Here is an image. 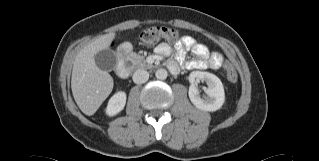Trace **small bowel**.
Listing matches in <instances>:
<instances>
[{
    "mask_svg": "<svg viewBox=\"0 0 319 161\" xmlns=\"http://www.w3.org/2000/svg\"><path fill=\"white\" fill-rule=\"evenodd\" d=\"M176 59L179 63L184 64L187 69L201 70L207 67H211L213 63L222 66L224 62L223 55L219 52H210L209 49L196 42V40L189 36H184L181 41L176 45ZM191 51L197 59L185 61L186 54ZM156 52L162 56H170L172 53L171 47L167 43H161L156 47ZM169 69L176 73L179 66L176 62H169Z\"/></svg>",
    "mask_w": 319,
    "mask_h": 161,
    "instance_id": "c3829d8e",
    "label": "small bowel"
}]
</instances>
